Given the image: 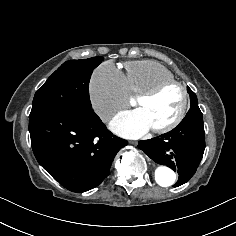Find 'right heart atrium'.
I'll return each mask as SVG.
<instances>
[{
    "instance_id": "d8ad5b80",
    "label": "right heart atrium",
    "mask_w": 236,
    "mask_h": 236,
    "mask_svg": "<svg viewBox=\"0 0 236 236\" xmlns=\"http://www.w3.org/2000/svg\"><path fill=\"white\" fill-rule=\"evenodd\" d=\"M89 96L95 115L107 122L128 103V88L124 75L111 63L105 62L92 73Z\"/></svg>"
}]
</instances>
